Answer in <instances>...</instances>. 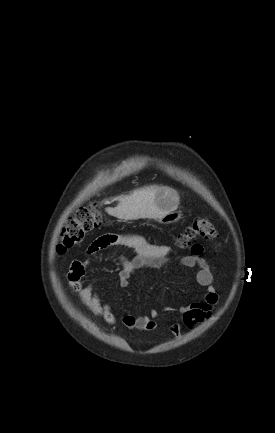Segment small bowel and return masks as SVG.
Instances as JSON below:
<instances>
[{
  "label": "small bowel",
  "mask_w": 275,
  "mask_h": 433,
  "mask_svg": "<svg viewBox=\"0 0 275 433\" xmlns=\"http://www.w3.org/2000/svg\"><path fill=\"white\" fill-rule=\"evenodd\" d=\"M110 246H124L129 248L135 255L133 260H128L119 256L121 264L119 272V284L121 287H128L131 277L140 268H152L166 263L172 254V248L168 245H154L148 243L140 236L130 234L109 233L96 239L88 248L89 254L105 250ZM203 247L201 244H194L191 254L184 256L180 264L188 268H197L195 282L206 289L203 298L199 301L190 302L181 307L183 324L193 329L198 324L208 320L212 315L214 306L218 303V293L213 286V273L210 264L202 258ZM89 261L75 259L71 262L68 272V283L72 290L79 294L83 304L95 315L102 318L107 324L115 325L117 317L111 306L103 303L97 292L94 291L92 284L84 282V275ZM159 317V312L155 309L149 315L133 316L124 314L121 323L130 330L153 331L157 325L155 319ZM170 332L175 337H180L182 327L180 324H172Z\"/></svg>",
  "instance_id": "small-bowel-1"
}]
</instances>
